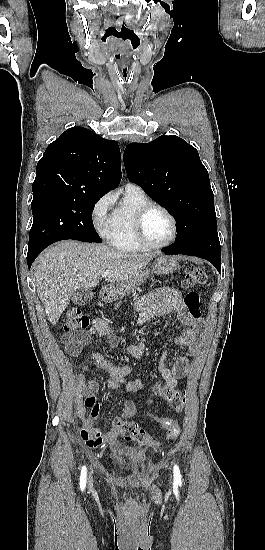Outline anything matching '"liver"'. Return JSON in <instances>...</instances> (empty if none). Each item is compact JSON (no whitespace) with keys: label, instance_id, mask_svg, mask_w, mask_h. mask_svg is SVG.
<instances>
[{"label":"liver","instance_id":"obj_1","mask_svg":"<svg viewBox=\"0 0 265 550\" xmlns=\"http://www.w3.org/2000/svg\"><path fill=\"white\" fill-rule=\"evenodd\" d=\"M152 259V254H128L104 244L74 240L46 249L35 261L34 281L49 322H58L73 291L96 287L103 273L121 295Z\"/></svg>","mask_w":265,"mask_h":550}]
</instances>
